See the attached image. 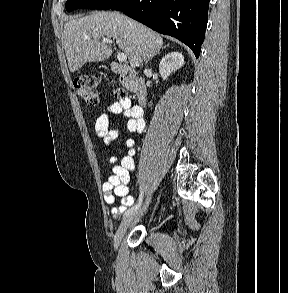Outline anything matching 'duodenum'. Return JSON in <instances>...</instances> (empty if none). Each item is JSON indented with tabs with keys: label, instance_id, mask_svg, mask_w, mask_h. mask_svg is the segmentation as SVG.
I'll list each match as a JSON object with an SVG mask.
<instances>
[{
	"label": "duodenum",
	"instance_id": "410a0bca",
	"mask_svg": "<svg viewBox=\"0 0 288 293\" xmlns=\"http://www.w3.org/2000/svg\"><path fill=\"white\" fill-rule=\"evenodd\" d=\"M111 68L114 73L119 75L121 82L134 92L139 104L144 105L147 97L145 81L142 78L137 77L134 71L126 65L113 62Z\"/></svg>",
	"mask_w": 288,
	"mask_h": 293
}]
</instances>
